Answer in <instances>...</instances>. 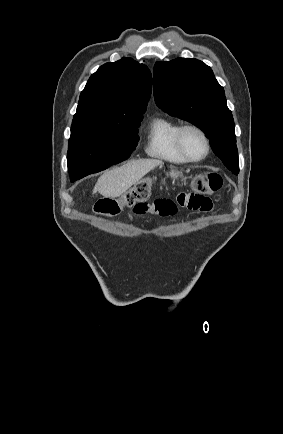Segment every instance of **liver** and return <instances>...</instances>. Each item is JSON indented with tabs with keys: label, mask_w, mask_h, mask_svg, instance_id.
Returning a JSON list of instances; mask_svg holds the SVG:
<instances>
[{
	"label": "liver",
	"mask_w": 283,
	"mask_h": 434,
	"mask_svg": "<svg viewBox=\"0 0 283 434\" xmlns=\"http://www.w3.org/2000/svg\"><path fill=\"white\" fill-rule=\"evenodd\" d=\"M161 163L156 159H140L107 171L98 179L93 193L99 192L104 197L117 198Z\"/></svg>",
	"instance_id": "6515ba94"
}]
</instances>
